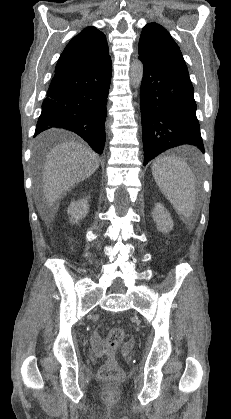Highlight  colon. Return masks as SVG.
<instances>
[{"mask_svg": "<svg viewBox=\"0 0 231 419\" xmlns=\"http://www.w3.org/2000/svg\"><path fill=\"white\" fill-rule=\"evenodd\" d=\"M124 340V331L120 327H113L106 337V351L108 359L101 367L99 376L108 382L114 381L120 374V367L115 354Z\"/></svg>", "mask_w": 231, "mask_h": 419, "instance_id": "5ec220e1", "label": "colon"}]
</instances>
